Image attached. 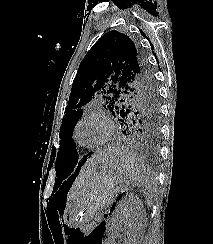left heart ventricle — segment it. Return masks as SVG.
<instances>
[{"instance_id": "left-heart-ventricle-1", "label": "left heart ventricle", "mask_w": 213, "mask_h": 244, "mask_svg": "<svg viewBox=\"0 0 213 244\" xmlns=\"http://www.w3.org/2000/svg\"><path fill=\"white\" fill-rule=\"evenodd\" d=\"M104 135L105 126L97 119H89L85 121L78 131L80 141L89 145L98 143L103 139Z\"/></svg>"}]
</instances>
